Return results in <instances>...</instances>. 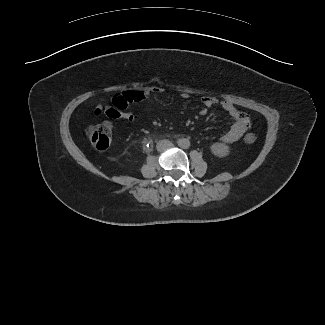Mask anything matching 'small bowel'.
<instances>
[{
    "label": "small bowel",
    "instance_id": "1",
    "mask_svg": "<svg viewBox=\"0 0 325 325\" xmlns=\"http://www.w3.org/2000/svg\"><path fill=\"white\" fill-rule=\"evenodd\" d=\"M163 90L157 86H148L141 89L127 91L118 94L113 98L112 106L100 105L95 110V114L104 113L110 119H125L128 121H137L140 118L139 114L127 113V110L132 102H142L146 100L151 94L162 93ZM182 98L189 99V94L182 93ZM204 106L202 114H206L207 110L215 105L220 104L221 107L232 117L233 123L229 129L221 136L220 141L224 144H232L246 133L250 127L249 117L238 110L232 103L228 101H219L212 96H205L201 99Z\"/></svg>",
    "mask_w": 325,
    "mask_h": 325
}]
</instances>
